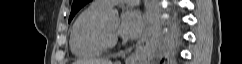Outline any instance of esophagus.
<instances>
[{"mask_svg": "<svg viewBox=\"0 0 242 64\" xmlns=\"http://www.w3.org/2000/svg\"><path fill=\"white\" fill-rule=\"evenodd\" d=\"M147 38V23H146V27H145V31H144V34L143 36L140 38V40L137 42L136 46H135V49L137 50L141 44L146 40ZM131 52V50L128 51V54ZM131 58V54H129V56L126 58V61H129Z\"/></svg>", "mask_w": 242, "mask_h": 64, "instance_id": "obj_1", "label": "esophagus"}]
</instances>
